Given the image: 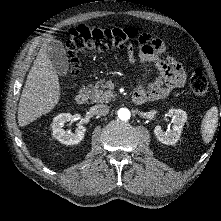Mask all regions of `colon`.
I'll return each mask as SVG.
<instances>
[{
    "label": "colon",
    "mask_w": 221,
    "mask_h": 221,
    "mask_svg": "<svg viewBox=\"0 0 221 221\" xmlns=\"http://www.w3.org/2000/svg\"><path fill=\"white\" fill-rule=\"evenodd\" d=\"M138 35L140 30L132 27L102 29L81 25L70 29L65 34V45L71 59V75L74 77L77 74V52L122 48ZM190 87L197 96H204L208 92V80L201 69H196L192 73Z\"/></svg>",
    "instance_id": "colon-1"
}]
</instances>
